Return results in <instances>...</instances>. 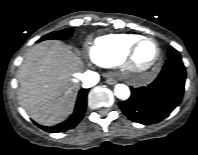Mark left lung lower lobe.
I'll use <instances>...</instances> for the list:
<instances>
[{"instance_id":"obj_1","label":"left lung lower lobe","mask_w":198,"mask_h":155,"mask_svg":"<svg viewBox=\"0 0 198 155\" xmlns=\"http://www.w3.org/2000/svg\"><path fill=\"white\" fill-rule=\"evenodd\" d=\"M185 79L181 59H168L154 82L147 87L132 88L130 98L120 102L119 107L134 122L158 123L181 103Z\"/></svg>"}]
</instances>
